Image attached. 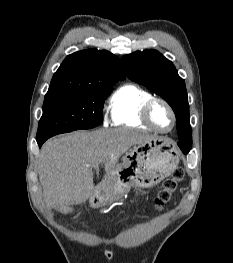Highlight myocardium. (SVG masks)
<instances>
[{
	"mask_svg": "<svg viewBox=\"0 0 233 263\" xmlns=\"http://www.w3.org/2000/svg\"><path fill=\"white\" fill-rule=\"evenodd\" d=\"M156 103H161L163 104L169 111L171 118H172V124L170 126L169 129L167 130H163L160 129L159 127L156 126V124L154 123L152 116H151V111L153 106ZM141 118L142 120L153 130H155L156 132L159 133H169L173 130V128L176 125V114L174 112V109L172 108V106L163 98L160 97H151L150 99H148L142 106V110H141Z\"/></svg>",
	"mask_w": 233,
	"mask_h": 263,
	"instance_id": "1",
	"label": "myocardium"
}]
</instances>
